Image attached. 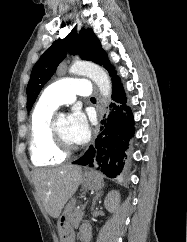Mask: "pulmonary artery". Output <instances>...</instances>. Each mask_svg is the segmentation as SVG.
<instances>
[{
	"instance_id": "e3ab8cb5",
	"label": "pulmonary artery",
	"mask_w": 187,
	"mask_h": 242,
	"mask_svg": "<svg viewBox=\"0 0 187 242\" xmlns=\"http://www.w3.org/2000/svg\"><path fill=\"white\" fill-rule=\"evenodd\" d=\"M91 92L90 81L83 78H65L46 87L40 101L56 109L74 102L77 95L88 97Z\"/></svg>"
}]
</instances>
